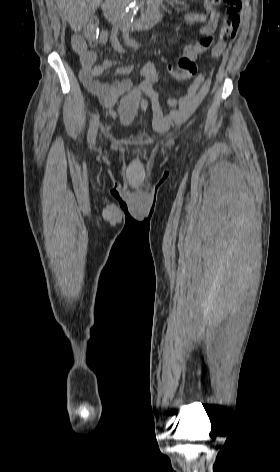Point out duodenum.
I'll return each instance as SVG.
<instances>
[{
	"mask_svg": "<svg viewBox=\"0 0 280 472\" xmlns=\"http://www.w3.org/2000/svg\"><path fill=\"white\" fill-rule=\"evenodd\" d=\"M121 1L122 0H105L102 6L106 19L115 26H119L123 14V4ZM162 16V12L159 9H149L134 21L132 27L135 30L149 29L158 24Z\"/></svg>",
	"mask_w": 280,
	"mask_h": 472,
	"instance_id": "410a0bca",
	"label": "duodenum"
}]
</instances>
